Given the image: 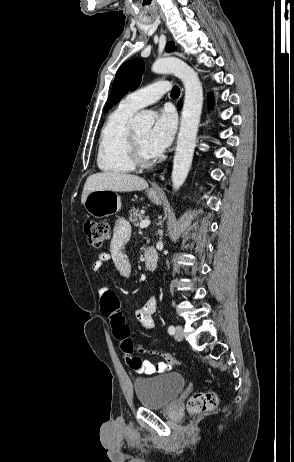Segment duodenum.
<instances>
[{
    "label": "duodenum",
    "mask_w": 294,
    "mask_h": 462,
    "mask_svg": "<svg viewBox=\"0 0 294 462\" xmlns=\"http://www.w3.org/2000/svg\"><path fill=\"white\" fill-rule=\"evenodd\" d=\"M158 262V253L152 246H147L144 250V263L148 270L153 271Z\"/></svg>",
    "instance_id": "1"
}]
</instances>
